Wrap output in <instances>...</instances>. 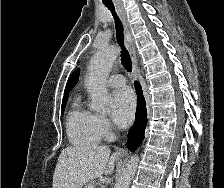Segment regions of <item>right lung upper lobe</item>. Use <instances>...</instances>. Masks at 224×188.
<instances>
[{"label":"right lung upper lobe","mask_w":224,"mask_h":188,"mask_svg":"<svg viewBox=\"0 0 224 188\" xmlns=\"http://www.w3.org/2000/svg\"><path fill=\"white\" fill-rule=\"evenodd\" d=\"M79 78V69L73 72V74L70 76L66 88H65V95L63 97V102L67 101L68 98V92L76 85Z\"/></svg>","instance_id":"1"}]
</instances>
